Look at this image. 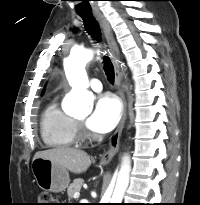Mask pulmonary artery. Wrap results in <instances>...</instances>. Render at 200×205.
<instances>
[{"mask_svg": "<svg viewBox=\"0 0 200 205\" xmlns=\"http://www.w3.org/2000/svg\"><path fill=\"white\" fill-rule=\"evenodd\" d=\"M90 87L95 92H100L102 90V84L98 79H92L90 81Z\"/></svg>", "mask_w": 200, "mask_h": 205, "instance_id": "1", "label": "pulmonary artery"}]
</instances>
